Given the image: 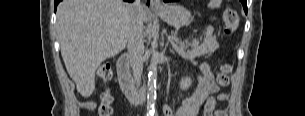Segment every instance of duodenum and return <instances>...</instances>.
I'll use <instances>...</instances> for the list:
<instances>
[{
  "mask_svg": "<svg viewBox=\"0 0 305 116\" xmlns=\"http://www.w3.org/2000/svg\"><path fill=\"white\" fill-rule=\"evenodd\" d=\"M129 60L126 55L119 57L117 61V78L120 89L131 104H141L146 100L147 89H137L129 74Z\"/></svg>",
  "mask_w": 305,
  "mask_h": 116,
  "instance_id": "1",
  "label": "duodenum"
}]
</instances>
